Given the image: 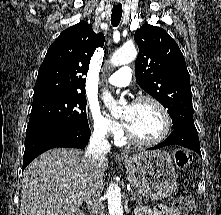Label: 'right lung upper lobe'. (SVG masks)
<instances>
[{"instance_id":"1","label":"right lung upper lobe","mask_w":221,"mask_h":215,"mask_svg":"<svg viewBox=\"0 0 221 215\" xmlns=\"http://www.w3.org/2000/svg\"><path fill=\"white\" fill-rule=\"evenodd\" d=\"M104 35H96L85 21L64 30L50 45L41 64L33 101L52 95L84 93L90 59Z\"/></svg>"}]
</instances>
